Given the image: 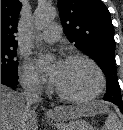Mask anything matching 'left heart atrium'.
Instances as JSON below:
<instances>
[{"label": "left heart atrium", "instance_id": "39dd6f15", "mask_svg": "<svg viewBox=\"0 0 123 130\" xmlns=\"http://www.w3.org/2000/svg\"><path fill=\"white\" fill-rule=\"evenodd\" d=\"M61 60H56L54 61L50 66L49 61H48V57L46 56H40L37 60H36V64L38 66V68L44 72L50 79L51 81H54L58 71L62 65Z\"/></svg>", "mask_w": 123, "mask_h": 130}]
</instances>
